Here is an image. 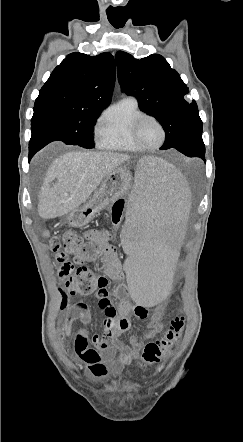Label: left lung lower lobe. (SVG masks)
I'll list each match as a JSON object with an SVG mask.
<instances>
[{"label": "left lung lower lobe", "instance_id": "obj_1", "mask_svg": "<svg viewBox=\"0 0 243 442\" xmlns=\"http://www.w3.org/2000/svg\"><path fill=\"white\" fill-rule=\"evenodd\" d=\"M177 150L186 156L200 157L205 160V145L202 136L192 139L183 146L178 147Z\"/></svg>", "mask_w": 243, "mask_h": 442}]
</instances>
